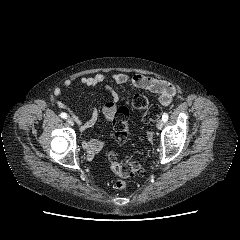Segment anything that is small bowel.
Here are the masks:
<instances>
[{
  "instance_id": "small-bowel-1",
  "label": "small bowel",
  "mask_w": 240,
  "mask_h": 240,
  "mask_svg": "<svg viewBox=\"0 0 240 240\" xmlns=\"http://www.w3.org/2000/svg\"><path fill=\"white\" fill-rule=\"evenodd\" d=\"M107 78H110L113 82L119 85H124L130 83L136 88H140L143 90L150 91L158 96L160 103L164 106L170 105L174 96L176 95V88L169 82H166L161 79H157L154 77L135 74L128 75L126 73H112L108 76L97 73L93 76L81 77L79 82L80 84L87 87H103L107 91H109L112 95L111 99L106 101L102 108V114L107 123H110L115 116L117 111L118 97L114 89L106 83ZM73 84L71 79H67L64 82L63 88H56L54 90V94L57 97H61L63 95L64 90L69 89ZM58 107L62 109H67L66 104L62 101L57 100ZM88 114H90V118L83 122L81 121L75 114H72V117L77 121L80 125L81 130L84 131L90 127H92L98 119L99 112L96 108H91L88 110ZM105 145V141L103 139H86L83 141V148L90 154H97Z\"/></svg>"
}]
</instances>
